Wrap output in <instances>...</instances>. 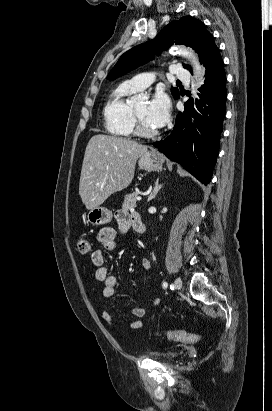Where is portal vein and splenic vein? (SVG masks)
<instances>
[{
    "label": "portal vein and splenic vein",
    "instance_id": "1",
    "mask_svg": "<svg viewBox=\"0 0 272 411\" xmlns=\"http://www.w3.org/2000/svg\"><path fill=\"white\" fill-rule=\"evenodd\" d=\"M138 201H141L142 197L141 196H137L136 198Z\"/></svg>",
    "mask_w": 272,
    "mask_h": 411
}]
</instances>
